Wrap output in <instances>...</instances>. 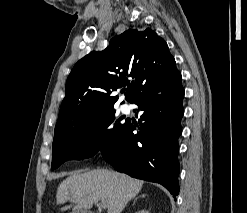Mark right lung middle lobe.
Here are the masks:
<instances>
[{
	"label": "right lung middle lobe",
	"instance_id": "dd1d6c3e",
	"mask_svg": "<svg viewBox=\"0 0 247 213\" xmlns=\"http://www.w3.org/2000/svg\"><path fill=\"white\" fill-rule=\"evenodd\" d=\"M115 120V110L102 112L90 122L54 136L52 169L66 160H80L97 152L107 151L116 144L125 123Z\"/></svg>",
	"mask_w": 247,
	"mask_h": 213
}]
</instances>
